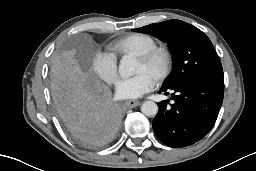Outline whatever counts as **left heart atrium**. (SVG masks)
Masks as SVG:
<instances>
[{"label":"left heart atrium","instance_id":"39dd6f15","mask_svg":"<svg viewBox=\"0 0 256 171\" xmlns=\"http://www.w3.org/2000/svg\"><path fill=\"white\" fill-rule=\"evenodd\" d=\"M154 80L146 73L121 79L116 85V96L121 99H136L149 92Z\"/></svg>","mask_w":256,"mask_h":171}]
</instances>
